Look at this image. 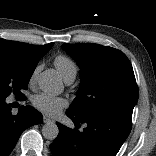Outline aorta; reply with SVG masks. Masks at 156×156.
I'll return each instance as SVG.
<instances>
[{"instance_id":"obj_1","label":"aorta","mask_w":156,"mask_h":156,"mask_svg":"<svg viewBox=\"0 0 156 156\" xmlns=\"http://www.w3.org/2000/svg\"><path fill=\"white\" fill-rule=\"evenodd\" d=\"M39 88L46 93H59L62 91V81L51 71H44L38 77ZM59 129L54 122H47L42 127V135L47 140H54Z\"/></svg>"}]
</instances>
